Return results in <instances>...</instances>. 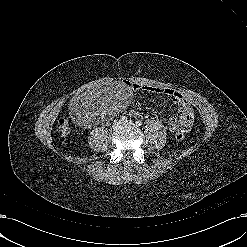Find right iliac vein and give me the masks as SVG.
Segmentation results:
<instances>
[{
	"label": "right iliac vein",
	"mask_w": 247,
	"mask_h": 247,
	"mask_svg": "<svg viewBox=\"0 0 247 247\" xmlns=\"http://www.w3.org/2000/svg\"><path fill=\"white\" fill-rule=\"evenodd\" d=\"M121 125H122V122H121V121H116V122L114 123V125H113V128H114L115 130H117V129L120 128Z\"/></svg>",
	"instance_id": "1"
}]
</instances>
